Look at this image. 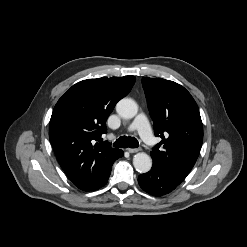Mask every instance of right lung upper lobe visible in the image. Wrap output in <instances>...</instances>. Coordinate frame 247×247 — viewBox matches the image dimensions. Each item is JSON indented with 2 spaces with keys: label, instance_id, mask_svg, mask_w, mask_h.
I'll use <instances>...</instances> for the list:
<instances>
[{
  "label": "right lung upper lobe",
  "instance_id": "right-lung-upper-lobe-1",
  "mask_svg": "<svg viewBox=\"0 0 247 247\" xmlns=\"http://www.w3.org/2000/svg\"><path fill=\"white\" fill-rule=\"evenodd\" d=\"M134 83L131 75L83 80L73 85L54 107L50 142L65 174L83 191H93L104 182L121 151L106 141H95L106 133L108 116Z\"/></svg>",
  "mask_w": 247,
  "mask_h": 247
}]
</instances>
